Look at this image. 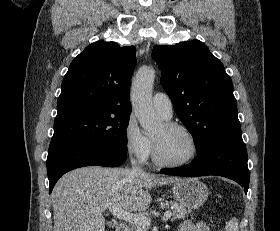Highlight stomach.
<instances>
[{"instance_id": "obj_1", "label": "stomach", "mask_w": 280, "mask_h": 231, "mask_svg": "<svg viewBox=\"0 0 280 231\" xmlns=\"http://www.w3.org/2000/svg\"><path fill=\"white\" fill-rule=\"evenodd\" d=\"M172 191L176 201L188 209H199L209 195V189L205 183L194 177H180L174 181Z\"/></svg>"}]
</instances>
